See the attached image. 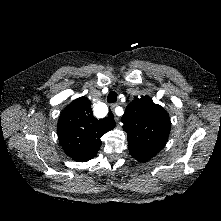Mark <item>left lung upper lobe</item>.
I'll return each mask as SVG.
<instances>
[{
	"label": "left lung upper lobe",
	"instance_id": "left-lung-upper-lobe-1",
	"mask_svg": "<svg viewBox=\"0 0 221 221\" xmlns=\"http://www.w3.org/2000/svg\"><path fill=\"white\" fill-rule=\"evenodd\" d=\"M121 121L129 152L140 162L150 160L164 147L171 129L168 113L146 96L129 103Z\"/></svg>",
	"mask_w": 221,
	"mask_h": 221
}]
</instances>
